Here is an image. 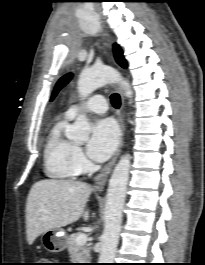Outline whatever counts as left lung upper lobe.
I'll list each match as a JSON object with an SVG mask.
<instances>
[{"instance_id":"5c2ea615","label":"left lung upper lobe","mask_w":205,"mask_h":265,"mask_svg":"<svg viewBox=\"0 0 205 265\" xmlns=\"http://www.w3.org/2000/svg\"><path fill=\"white\" fill-rule=\"evenodd\" d=\"M114 56H115V59H116L117 63L120 66H122L123 68L127 67V63H126V60L123 57L122 50H121V48L118 45H114ZM72 76H73L72 73H68V74H66L65 76H63V77H61L59 79V81L57 82V84H56V86L54 88L51 100H53L54 97L57 95L58 91L62 87H64L71 80Z\"/></svg>"}]
</instances>
